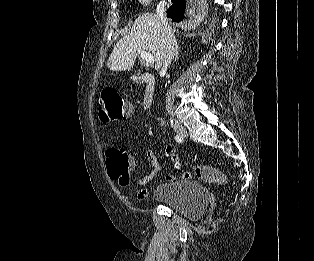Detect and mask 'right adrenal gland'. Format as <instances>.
Masks as SVG:
<instances>
[{
	"mask_svg": "<svg viewBox=\"0 0 314 261\" xmlns=\"http://www.w3.org/2000/svg\"><path fill=\"white\" fill-rule=\"evenodd\" d=\"M178 51H179V47H177L174 61H177V60H178V54H179Z\"/></svg>",
	"mask_w": 314,
	"mask_h": 261,
	"instance_id": "2a0ac1e0",
	"label": "right adrenal gland"
}]
</instances>
